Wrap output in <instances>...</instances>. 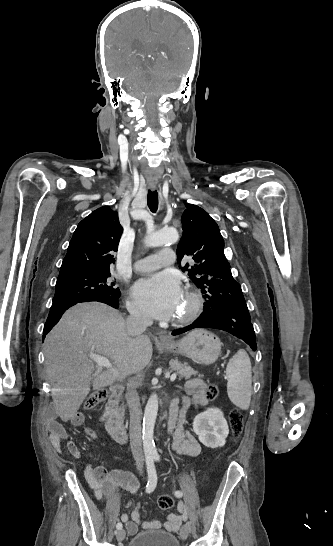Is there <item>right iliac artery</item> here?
Returning a JSON list of instances; mask_svg holds the SVG:
<instances>
[{"label":"right iliac artery","instance_id":"1","mask_svg":"<svg viewBox=\"0 0 333 546\" xmlns=\"http://www.w3.org/2000/svg\"><path fill=\"white\" fill-rule=\"evenodd\" d=\"M147 472H148V483L146 486V492L151 493L157 485V474L154 466V459L152 457L146 458ZM118 530L122 529V523L118 522L116 525Z\"/></svg>","mask_w":333,"mask_h":546}]
</instances>
